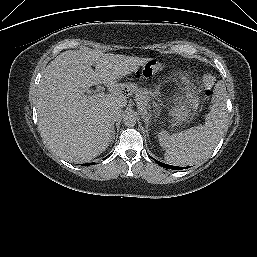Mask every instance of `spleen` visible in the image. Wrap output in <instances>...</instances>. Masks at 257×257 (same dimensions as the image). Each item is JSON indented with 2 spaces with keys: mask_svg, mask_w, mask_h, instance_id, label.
I'll use <instances>...</instances> for the list:
<instances>
[{
  "mask_svg": "<svg viewBox=\"0 0 257 257\" xmlns=\"http://www.w3.org/2000/svg\"><path fill=\"white\" fill-rule=\"evenodd\" d=\"M212 104L204 125L172 135L164 130L158 133L167 163L194 165L210 157L227 129L226 92L221 82L215 87Z\"/></svg>",
  "mask_w": 257,
  "mask_h": 257,
  "instance_id": "1",
  "label": "spleen"
}]
</instances>
